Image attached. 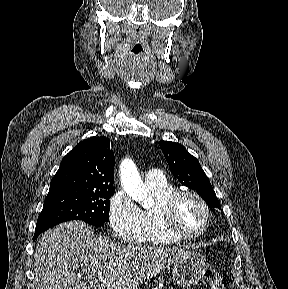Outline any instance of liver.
<instances>
[{
  "mask_svg": "<svg viewBox=\"0 0 288 289\" xmlns=\"http://www.w3.org/2000/svg\"><path fill=\"white\" fill-rule=\"evenodd\" d=\"M182 248L134 246L94 236L82 221L62 223L45 232L34 255L38 289H87L77 267L97 276L103 289H138L143 280L184 258Z\"/></svg>",
  "mask_w": 288,
  "mask_h": 289,
  "instance_id": "liver-1",
  "label": "liver"
}]
</instances>
